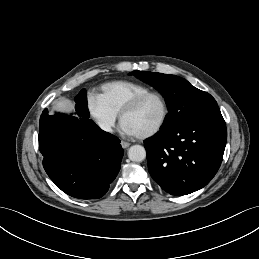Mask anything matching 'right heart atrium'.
<instances>
[{
	"label": "right heart atrium",
	"instance_id": "d8ad5b80",
	"mask_svg": "<svg viewBox=\"0 0 259 259\" xmlns=\"http://www.w3.org/2000/svg\"><path fill=\"white\" fill-rule=\"evenodd\" d=\"M89 115L105 133H111L117 121V114L97 94H90L86 100Z\"/></svg>",
	"mask_w": 259,
	"mask_h": 259
}]
</instances>
